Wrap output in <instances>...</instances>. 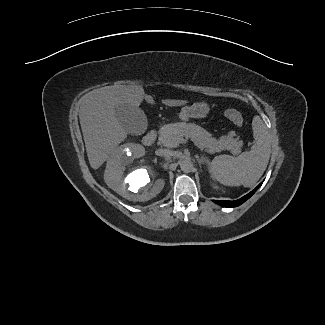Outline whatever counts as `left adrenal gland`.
Segmentation results:
<instances>
[{
	"mask_svg": "<svg viewBox=\"0 0 325 325\" xmlns=\"http://www.w3.org/2000/svg\"><path fill=\"white\" fill-rule=\"evenodd\" d=\"M196 159H197L199 165L208 164L209 163V160L206 157H204V156H201L200 157V156L196 155Z\"/></svg>",
	"mask_w": 325,
	"mask_h": 325,
	"instance_id": "left-adrenal-gland-1",
	"label": "left adrenal gland"
}]
</instances>
